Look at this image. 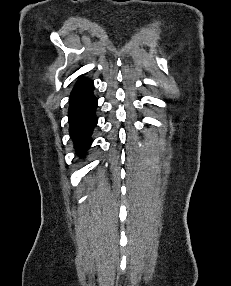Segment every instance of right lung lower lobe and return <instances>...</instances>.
<instances>
[{
    "label": "right lung lower lobe",
    "mask_w": 231,
    "mask_h": 286,
    "mask_svg": "<svg viewBox=\"0 0 231 286\" xmlns=\"http://www.w3.org/2000/svg\"><path fill=\"white\" fill-rule=\"evenodd\" d=\"M93 89L92 81L81 78L75 84L70 96L69 132L80 156L91 145V134L98 121L95 115L98 101L93 95Z\"/></svg>",
    "instance_id": "right-lung-lower-lobe-1"
}]
</instances>
